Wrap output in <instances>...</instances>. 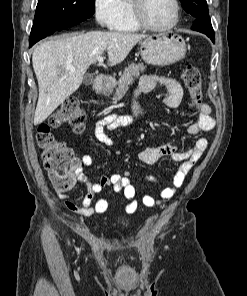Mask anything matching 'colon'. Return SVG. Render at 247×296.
<instances>
[{"instance_id":"obj_1","label":"colon","mask_w":247,"mask_h":296,"mask_svg":"<svg viewBox=\"0 0 247 296\" xmlns=\"http://www.w3.org/2000/svg\"><path fill=\"white\" fill-rule=\"evenodd\" d=\"M183 80L192 98V105L202 103L201 73L194 64H187L183 71ZM86 114L77 98H67L51 115L46 123L39 125L37 142L42 151L44 167L53 187L66 191L73 187L77 179L79 161L71 148L54 137L51 130L69 125L76 133L84 130Z\"/></svg>"}]
</instances>
